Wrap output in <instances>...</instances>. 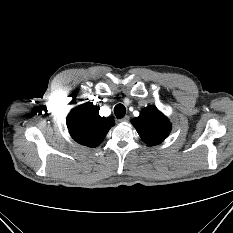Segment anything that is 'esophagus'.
<instances>
[{
  "mask_svg": "<svg viewBox=\"0 0 233 233\" xmlns=\"http://www.w3.org/2000/svg\"><path fill=\"white\" fill-rule=\"evenodd\" d=\"M129 119H130L129 116L126 115L125 117L121 118L119 121L120 122H128Z\"/></svg>",
  "mask_w": 233,
  "mask_h": 233,
  "instance_id": "esophagus-1",
  "label": "esophagus"
}]
</instances>
